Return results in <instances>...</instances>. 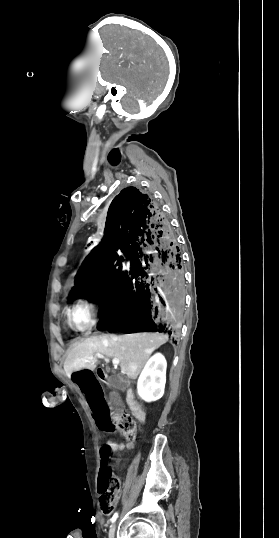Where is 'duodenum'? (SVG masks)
<instances>
[{"label": "duodenum", "mask_w": 279, "mask_h": 538, "mask_svg": "<svg viewBox=\"0 0 279 538\" xmlns=\"http://www.w3.org/2000/svg\"><path fill=\"white\" fill-rule=\"evenodd\" d=\"M94 378L100 380L102 384L107 385L110 383L111 378L108 375V369L106 366H97L94 371ZM125 395H127L128 411L134 413L135 418L143 417V410L139 409V404L134 402L133 395H130V390H125ZM142 422H145V419H142Z\"/></svg>", "instance_id": "obj_1"}]
</instances>
